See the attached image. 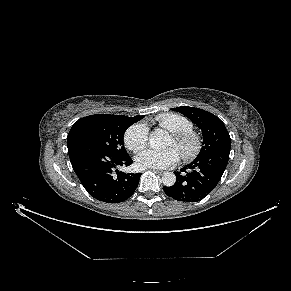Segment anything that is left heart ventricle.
Listing matches in <instances>:
<instances>
[{"label":"left heart ventricle","mask_w":291,"mask_h":291,"mask_svg":"<svg viewBox=\"0 0 291 291\" xmlns=\"http://www.w3.org/2000/svg\"><path fill=\"white\" fill-rule=\"evenodd\" d=\"M169 146H174V147H176L178 150H179V152H180V149L176 146V144H175V141H174V138L172 137L171 139H170V141H169Z\"/></svg>","instance_id":"obj_1"}]
</instances>
